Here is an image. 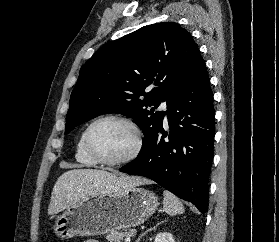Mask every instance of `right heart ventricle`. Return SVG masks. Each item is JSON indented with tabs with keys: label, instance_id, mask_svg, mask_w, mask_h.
<instances>
[{
	"label": "right heart ventricle",
	"instance_id": "right-heart-ventricle-1",
	"mask_svg": "<svg viewBox=\"0 0 279 242\" xmlns=\"http://www.w3.org/2000/svg\"><path fill=\"white\" fill-rule=\"evenodd\" d=\"M75 159L85 167H93L97 163L89 156L85 148V131H83L77 141L75 149Z\"/></svg>",
	"mask_w": 279,
	"mask_h": 242
}]
</instances>
